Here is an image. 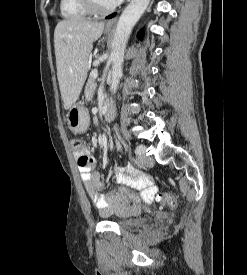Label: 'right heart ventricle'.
<instances>
[{"instance_id": "1", "label": "right heart ventricle", "mask_w": 247, "mask_h": 275, "mask_svg": "<svg viewBox=\"0 0 247 275\" xmlns=\"http://www.w3.org/2000/svg\"><path fill=\"white\" fill-rule=\"evenodd\" d=\"M60 11L66 19H82L89 16V11L80 0H60Z\"/></svg>"}]
</instances>
